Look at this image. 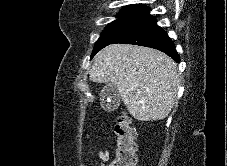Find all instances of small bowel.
<instances>
[{"mask_svg": "<svg viewBox=\"0 0 227 166\" xmlns=\"http://www.w3.org/2000/svg\"><path fill=\"white\" fill-rule=\"evenodd\" d=\"M110 159V152L108 149H102L97 153V159H95L98 166H105L104 162Z\"/></svg>", "mask_w": 227, "mask_h": 166, "instance_id": "obj_1", "label": "small bowel"}]
</instances>
